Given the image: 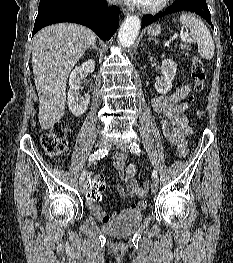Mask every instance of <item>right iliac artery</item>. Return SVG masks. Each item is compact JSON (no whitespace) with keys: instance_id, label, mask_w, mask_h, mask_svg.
<instances>
[{"instance_id":"1","label":"right iliac artery","mask_w":233,"mask_h":263,"mask_svg":"<svg viewBox=\"0 0 233 263\" xmlns=\"http://www.w3.org/2000/svg\"><path fill=\"white\" fill-rule=\"evenodd\" d=\"M108 153H109V150L106 148L105 149H99L90 155L89 162L94 161V160H99V159L105 157L106 155H108ZM84 179H85V170L82 172V174L80 176L81 181H84Z\"/></svg>"}]
</instances>
